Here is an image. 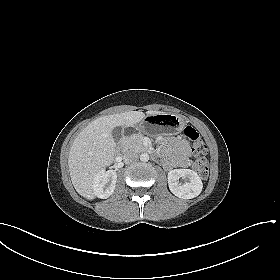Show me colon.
I'll return each mask as SVG.
<instances>
[{
    "label": "colon",
    "instance_id": "1",
    "mask_svg": "<svg viewBox=\"0 0 280 280\" xmlns=\"http://www.w3.org/2000/svg\"><path fill=\"white\" fill-rule=\"evenodd\" d=\"M184 136L191 142L192 151L195 155L192 167L201 178H207L209 173L208 160L204 156L207 152V146L200 134L191 126L184 129Z\"/></svg>",
    "mask_w": 280,
    "mask_h": 280
}]
</instances>
